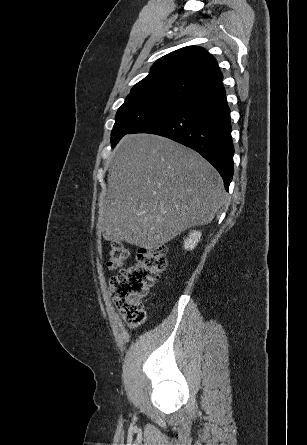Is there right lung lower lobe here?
Masks as SVG:
<instances>
[{"instance_id":"obj_1","label":"right lung lower lobe","mask_w":307,"mask_h":445,"mask_svg":"<svg viewBox=\"0 0 307 445\" xmlns=\"http://www.w3.org/2000/svg\"><path fill=\"white\" fill-rule=\"evenodd\" d=\"M132 133L164 136L199 152L218 170L228 191L233 177L234 147L230 109L222 83L184 100L127 134Z\"/></svg>"}]
</instances>
